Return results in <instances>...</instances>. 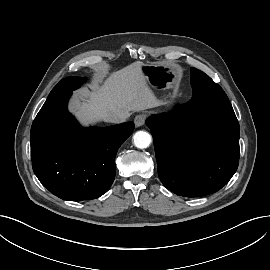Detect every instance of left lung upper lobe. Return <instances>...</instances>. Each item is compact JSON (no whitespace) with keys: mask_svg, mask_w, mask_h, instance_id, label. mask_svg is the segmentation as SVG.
Segmentation results:
<instances>
[{"mask_svg":"<svg viewBox=\"0 0 270 270\" xmlns=\"http://www.w3.org/2000/svg\"><path fill=\"white\" fill-rule=\"evenodd\" d=\"M191 85L198 92L204 108L209 106H231L225 92L208 75L191 68Z\"/></svg>","mask_w":270,"mask_h":270,"instance_id":"1","label":"left lung upper lobe"}]
</instances>
